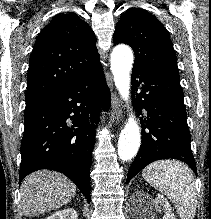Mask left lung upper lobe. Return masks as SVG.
Segmentation results:
<instances>
[{"label":"left lung upper lobe","instance_id":"5c2ea615","mask_svg":"<svg viewBox=\"0 0 211 219\" xmlns=\"http://www.w3.org/2000/svg\"><path fill=\"white\" fill-rule=\"evenodd\" d=\"M113 40L115 44L132 47L133 67L179 73L169 33L151 13L140 8L128 9L116 25Z\"/></svg>","mask_w":211,"mask_h":219}]
</instances>
